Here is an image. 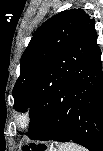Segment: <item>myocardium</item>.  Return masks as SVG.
I'll list each match as a JSON object with an SVG mask.
<instances>
[{"label":"myocardium","instance_id":"f54148a6","mask_svg":"<svg viewBox=\"0 0 103 151\" xmlns=\"http://www.w3.org/2000/svg\"><path fill=\"white\" fill-rule=\"evenodd\" d=\"M12 119L19 130H27L34 121L33 110L30 106H22L13 111Z\"/></svg>","mask_w":103,"mask_h":151}]
</instances>
